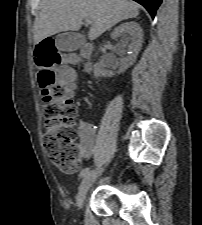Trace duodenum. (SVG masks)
Listing matches in <instances>:
<instances>
[{
    "mask_svg": "<svg viewBox=\"0 0 202 225\" xmlns=\"http://www.w3.org/2000/svg\"><path fill=\"white\" fill-rule=\"evenodd\" d=\"M92 50H93V47L92 45L90 44H85L83 47H82V50H81V53H82V56L85 58V59H88L92 53Z\"/></svg>",
    "mask_w": 202,
    "mask_h": 225,
    "instance_id": "410a0bca",
    "label": "duodenum"
}]
</instances>
